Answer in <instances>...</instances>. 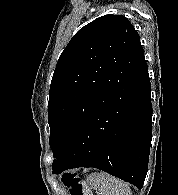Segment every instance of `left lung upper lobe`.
Wrapping results in <instances>:
<instances>
[{"instance_id": "obj_1", "label": "left lung upper lobe", "mask_w": 178, "mask_h": 195, "mask_svg": "<svg viewBox=\"0 0 178 195\" xmlns=\"http://www.w3.org/2000/svg\"><path fill=\"white\" fill-rule=\"evenodd\" d=\"M144 63L140 37L124 16L104 15L74 35L59 57L50 85L52 166L94 111Z\"/></svg>"}]
</instances>
